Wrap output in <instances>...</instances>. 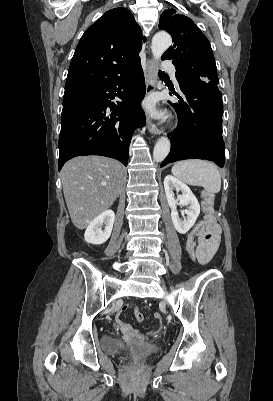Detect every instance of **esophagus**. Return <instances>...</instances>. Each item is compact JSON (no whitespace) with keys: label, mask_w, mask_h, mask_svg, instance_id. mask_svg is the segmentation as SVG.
I'll return each instance as SVG.
<instances>
[{"label":"esophagus","mask_w":273,"mask_h":401,"mask_svg":"<svg viewBox=\"0 0 273 401\" xmlns=\"http://www.w3.org/2000/svg\"><path fill=\"white\" fill-rule=\"evenodd\" d=\"M156 84V67L154 60L149 58L146 62V97H149L155 90ZM147 127L150 133L153 135H160L161 131L158 126L151 120L149 115L146 113Z\"/></svg>","instance_id":"1"}]
</instances>
